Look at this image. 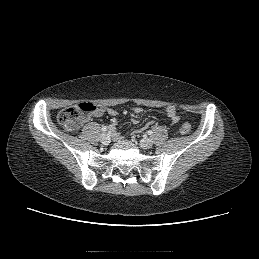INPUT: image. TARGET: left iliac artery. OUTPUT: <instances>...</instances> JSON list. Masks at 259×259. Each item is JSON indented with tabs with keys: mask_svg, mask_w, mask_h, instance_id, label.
<instances>
[{
	"mask_svg": "<svg viewBox=\"0 0 259 259\" xmlns=\"http://www.w3.org/2000/svg\"><path fill=\"white\" fill-rule=\"evenodd\" d=\"M147 133H148V135H152L153 132L151 130H149Z\"/></svg>",
	"mask_w": 259,
	"mask_h": 259,
	"instance_id": "44dca946",
	"label": "left iliac artery"
}]
</instances>
